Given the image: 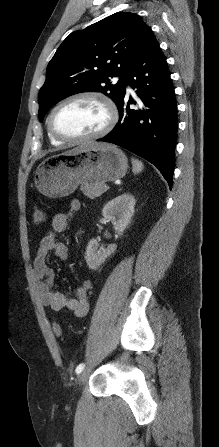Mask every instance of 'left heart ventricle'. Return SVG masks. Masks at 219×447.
Masks as SVG:
<instances>
[{"label": "left heart ventricle", "instance_id": "left-heart-ventricle-1", "mask_svg": "<svg viewBox=\"0 0 219 447\" xmlns=\"http://www.w3.org/2000/svg\"><path fill=\"white\" fill-rule=\"evenodd\" d=\"M106 122V111L93 100L65 104L54 116L56 131L67 137H82L100 130Z\"/></svg>", "mask_w": 219, "mask_h": 447}]
</instances>
